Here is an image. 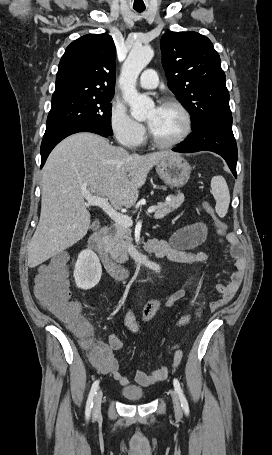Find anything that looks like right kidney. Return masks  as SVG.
Listing matches in <instances>:
<instances>
[{"label": "right kidney", "instance_id": "1", "mask_svg": "<svg viewBox=\"0 0 272 455\" xmlns=\"http://www.w3.org/2000/svg\"><path fill=\"white\" fill-rule=\"evenodd\" d=\"M102 267L98 256L91 250L80 252L74 269V278L78 288L88 290L100 281Z\"/></svg>", "mask_w": 272, "mask_h": 455}]
</instances>
